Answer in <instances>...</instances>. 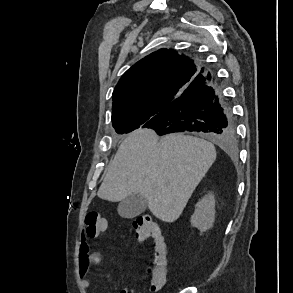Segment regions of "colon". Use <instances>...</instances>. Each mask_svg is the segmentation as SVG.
<instances>
[{"mask_svg": "<svg viewBox=\"0 0 293 293\" xmlns=\"http://www.w3.org/2000/svg\"><path fill=\"white\" fill-rule=\"evenodd\" d=\"M86 233L95 238L108 229V223L100 213L90 211L85 216ZM135 239L139 242L153 241V254L148 267L152 292H159L166 283L168 274V254L160 225L153 215L138 216L132 223Z\"/></svg>", "mask_w": 293, "mask_h": 293, "instance_id": "1", "label": "colon"}]
</instances>
